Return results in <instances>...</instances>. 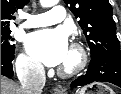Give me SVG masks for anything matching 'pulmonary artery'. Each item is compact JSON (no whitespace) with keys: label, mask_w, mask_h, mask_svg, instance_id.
<instances>
[{"label":"pulmonary artery","mask_w":121,"mask_h":94,"mask_svg":"<svg viewBox=\"0 0 121 94\" xmlns=\"http://www.w3.org/2000/svg\"><path fill=\"white\" fill-rule=\"evenodd\" d=\"M25 22L20 25L21 28H35L53 25L63 21L66 17V10L63 6H54L49 12L40 14H22Z\"/></svg>","instance_id":"e3ab8cb5"}]
</instances>
